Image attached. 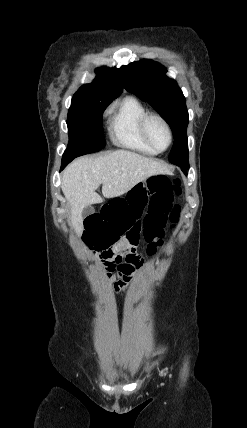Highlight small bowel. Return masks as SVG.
Wrapping results in <instances>:
<instances>
[{
  "instance_id": "c3829d8e",
  "label": "small bowel",
  "mask_w": 247,
  "mask_h": 428,
  "mask_svg": "<svg viewBox=\"0 0 247 428\" xmlns=\"http://www.w3.org/2000/svg\"><path fill=\"white\" fill-rule=\"evenodd\" d=\"M132 247L133 246L126 239L121 240L115 246V255L120 258L119 265L115 268L119 272L120 279L114 284V292L118 297H122L129 289L131 281L135 275V269L141 267H136L132 261H129L126 258L123 260V255H127Z\"/></svg>"
}]
</instances>
